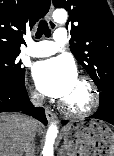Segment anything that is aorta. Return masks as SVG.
<instances>
[{
	"label": "aorta",
	"mask_w": 114,
	"mask_h": 156,
	"mask_svg": "<svg viewBox=\"0 0 114 156\" xmlns=\"http://www.w3.org/2000/svg\"><path fill=\"white\" fill-rule=\"evenodd\" d=\"M53 19L57 23H65L67 20V12L64 9H57L53 13ZM58 129L55 123H52L46 133L45 144L43 147V156H53L54 142L57 136Z\"/></svg>",
	"instance_id": "762f6f07"
}]
</instances>
